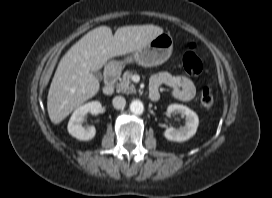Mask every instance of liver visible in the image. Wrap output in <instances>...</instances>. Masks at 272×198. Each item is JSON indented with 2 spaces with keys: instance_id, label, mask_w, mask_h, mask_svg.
Listing matches in <instances>:
<instances>
[{
  "instance_id": "1",
  "label": "liver",
  "mask_w": 272,
  "mask_h": 198,
  "mask_svg": "<svg viewBox=\"0 0 272 198\" xmlns=\"http://www.w3.org/2000/svg\"><path fill=\"white\" fill-rule=\"evenodd\" d=\"M163 33L155 25L124 26L112 34L100 26L85 34L61 58L52 79L47 109L52 123H61L75 108L95 96L99 80L92 74L111 58L135 52Z\"/></svg>"
}]
</instances>
